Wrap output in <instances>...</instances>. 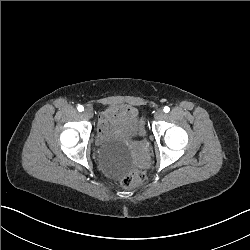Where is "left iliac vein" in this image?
<instances>
[{"mask_svg": "<svg viewBox=\"0 0 250 250\" xmlns=\"http://www.w3.org/2000/svg\"><path fill=\"white\" fill-rule=\"evenodd\" d=\"M165 117V113L163 112V110H157L154 114V118L156 120H162Z\"/></svg>", "mask_w": 250, "mask_h": 250, "instance_id": "1", "label": "left iliac vein"}]
</instances>
